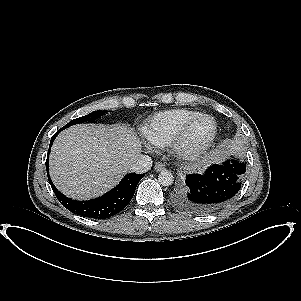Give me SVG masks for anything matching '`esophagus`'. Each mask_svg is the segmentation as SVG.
Here are the masks:
<instances>
[{
    "mask_svg": "<svg viewBox=\"0 0 301 301\" xmlns=\"http://www.w3.org/2000/svg\"><path fill=\"white\" fill-rule=\"evenodd\" d=\"M154 169L156 171H162L165 169V164L162 163V162H156L155 165H154Z\"/></svg>",
    "mask_w": 301,
    "mask_h": 301,
    "instance_id": "esophagus-1",
    "label": "esophagus"
}]
</instances>
